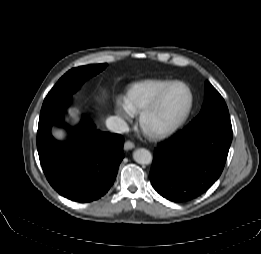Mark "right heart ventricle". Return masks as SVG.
Instances as JSON below:
<instances>
[{"instance_id":"right-heart-ventricle-1","label":"right heart ventricle","mask_w":261,"mask_h":254,"mask_svg":"<svg viewBox=\"0 0 261 254\" xmlns=\"http://www.w3.org/2000/svg\"><path fill=\"white\" fill-rule=\"evenodd\" d=\"M170 81L148 79L133 85L127 96V104L133 114L142 112L170 84Z\"/></svg>"}]
</instances>
